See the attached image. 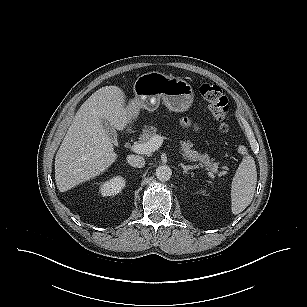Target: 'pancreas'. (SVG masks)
Here are the masks:
<instances>
[{"instance_id":"cf45deb5","label":"pancreas","mask_w":307,"mask_h":307,"mask_svg":"<svg viewBox=\"0 0 307 307\" xmlns=\"http://www.w3.org/2000/svg\"><path fill=\"white\" fill-rule=\"evenodd\" d=\"M157 132L155 126H144L142 134L140 135V142H148L153 135ZM180 151L185 159H188L193 162H199L195 167H205L206 170L216 173L218 170L219 163L214 162V159H210L207 154H201L192 149L193 145L189 141H180Z\"/></svg>"}]
</instances>
